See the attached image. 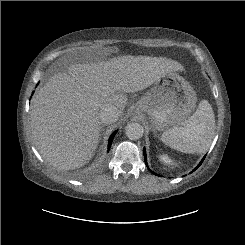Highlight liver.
Instances as JSON below:
<instances>
[{"label": "liver", "instance_id": "6515ba94", "mask_svg": "<svg viewBox=\"0 0 245 245\" xmlns=\"http://www.w3.org/2000/svg\"><path fill=\"white\" fill-rule=\"evenodd\" d=\"M177 61L162 57L120 56L97 63H75L53 75L33 98L30 127L43 159L55 168L85 165L100 140V107L114 105L119 116L135 93L162 75L182 71Z\"/></svg>", "mask_w": 245, "mask_h": 245}]
</instances>
